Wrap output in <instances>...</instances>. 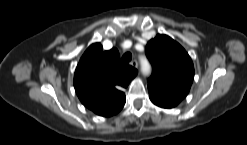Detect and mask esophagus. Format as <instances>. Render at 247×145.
I'll return each mask as SVG.
<instances>
[{"mask_svg":"<svg viewBox=\"0 0 247 145\" xmlns=\"http://www.w3.org/2000/svg\"><path fill=\"white\" fill-rule=\"evenodd\" d=\"M130 64H131L133 67L138 68V61H137V60H133Z\"/></svg>","mask_w":247,"mask_h":145,"instance_id":"obj_1","label":"esophagus"}]
</instances>
